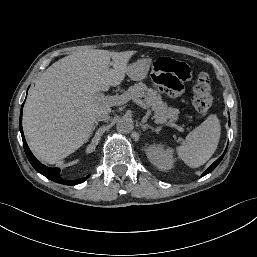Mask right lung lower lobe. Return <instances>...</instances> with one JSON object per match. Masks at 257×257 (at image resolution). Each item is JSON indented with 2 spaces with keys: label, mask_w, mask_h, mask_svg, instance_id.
I'll return each mask as SVG.
<instances>
[{
  "label": "right lung lower lobe",
  "mask_w": 257,
  "mask_h": 257,
  "mask_svg": "<svg viewBox=\"0 0 257 257\" xmlns=\"http://www.w3.org/2000/svg\"><path fill=\"white\" fill-rule=\"evenodd\" d=\"M24 105V103H23ZM23 105L21 108V113H20V131H21V135H22V140H23V146H24V150L26 153V156L29 160V162L31 163V165L34 167V169L36 171H38L39 173H41L42 175H44L46 178L60 183V184H65V185H75V184H79L84 182L90 175H88L86 178H80L77 180H64L60 177V170L58 168H49L43 164H41L31 153L26 140L24 138V134H23V130H22V109H23Z\"/></svg>",
  "instance_id": "98d812e1"
}]
</instances>
